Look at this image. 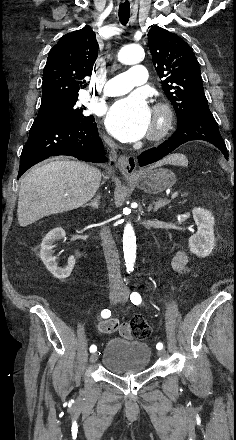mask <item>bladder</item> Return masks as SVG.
<instances>
[{
    "label": "bladder",
    "mask_w": 236,
    "mask_h": 440,
    "mask_svg": "<svg viewBox=\"0 0 236 440\" xmlns=\"http://www.w3.org/2000/svg\"><path fill=\"white\" fill-rule=\"evenodd\" d=\"M151 358L152 351L147 343L113 337L104 347L101 362L115 374L140 373L149 369Z\"/></svg>",
    "instance_id": "1"
}]
</instances>
